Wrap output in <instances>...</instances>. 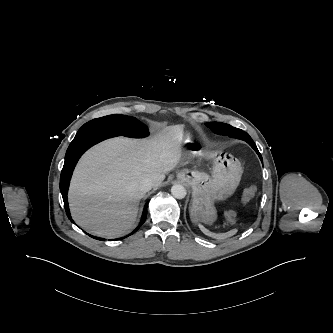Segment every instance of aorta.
I'll return each instance as SVG.
<instances>
[{
  "label": "aorta",
  "instance_id": "1",
  "mask_svg": "<svg viewBox=\"0 0 333 333\" xmlns=\"http://www.w3.org/2000/svg\"><path fill=\"white\" fill-rule=\"evenodd\" d=\"M171 194L177 199H183L186 196L187 192L184 186L180 184H175L171 188Z\"/></svg>",
  "mask_w": 333,
  "mask_h": 333
}]
</instances>
